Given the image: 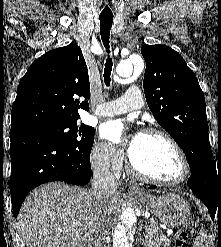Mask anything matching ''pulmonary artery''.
Listing matches in <instances>:
<instances>
[{
    "label": "pulmonary artery",
    "mask_w": 221,
    "mask_h": 247,
    "mask_svg": "<svg viewBox=\"0 0 221 247\" xmlns=\"http://www.w3.org/2000/svg\"><path fill=\"white\" fill-rule=\"evenodd\" d=\"M142 106L143 99L140 89L137 86H131L122 97L106 102L94 111V114L100 117H112Z\"/></svg>",
    "instance_id": "obj_1"
}]
</instances>
